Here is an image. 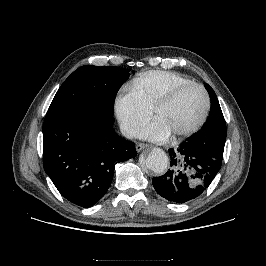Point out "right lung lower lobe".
I'll return each instance as SVG.
<instances>
[{
	"label": "right lung lower lobe",
	"mask_w": 266,
	"mask_h": 266,
	"mask_svg": "<svg viewBox=\"0 0 266 266\" xmlns=\"http://www.w3.org/2000/svg\"><path fill=\"white\" fill-rule=\"evenodd\" d=\"M104 110L50 105L43 124V167L60 194L80 207L97 203L111 185L114 166L137 155L135 143L116 134Z\"/></svg>",
	"instance_id": "1"
}]
</instances>
